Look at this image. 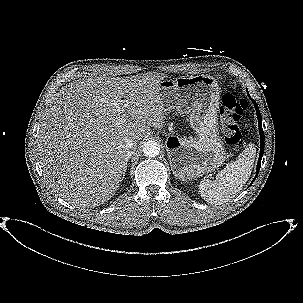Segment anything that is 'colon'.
Wrapping results in <instances>:
<instances>
[{"instance_id":"5ec220e1","label":"colon","mask_w":303,"mask_h":303,"mask_svg":"<svg viewBox=\"0 0 303 303\" xmlns=\"http://www.w3.org/2000/svg\"><path fill=\"white\" fill-rule=\"evenodd\" d=\"M247 108V100L236 92L231 91L223 95L220 108L221 129L228 144L235 145L240 141V118Z\"/></svg>"}]
</instances>
